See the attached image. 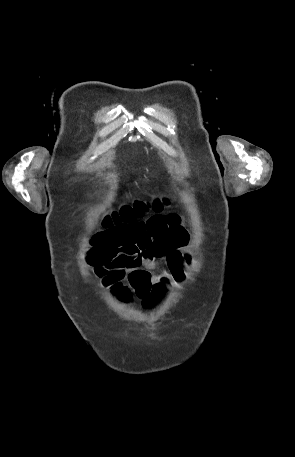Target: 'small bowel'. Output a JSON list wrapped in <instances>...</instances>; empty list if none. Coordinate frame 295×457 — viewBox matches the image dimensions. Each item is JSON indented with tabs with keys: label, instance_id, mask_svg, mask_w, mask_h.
I'll return each instance as SVG.
<instances>
[{
	"label": "small bowel",
	"instance_id": "obj_1",
	"mask_svg": "<svg viewBox=\"0 0 295 457\" xmlns=\"http://www.w3.org/2000/svg\"><path fill=\"white\" fill-rule=\"evenodd\" d=\"M189 235L176 213L154 214L135 221L98 231L90 239L88 262L94 268L112 253H122L128 246L140 250V264L127 271L125 280L137 295L145 285L151 289L169 282L181 283L192 264L186 251ZM163 260V264L159 261ZM105 280V279H104ZM139 296V295H138Z\"/></svg>",
	"mask_w": 295,
	"mask_h": 457
}]
</instances>
